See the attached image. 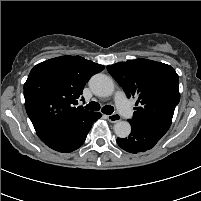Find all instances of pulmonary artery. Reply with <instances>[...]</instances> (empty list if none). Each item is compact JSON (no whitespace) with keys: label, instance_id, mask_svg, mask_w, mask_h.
I'll list each match as a JSON object with an SVG mask.
<instances>
[{"label":"pulmonary artery","instance_id":"obj_1","mask_svg":"<svg viewBox=\"0 0 201 201\" xmlns=\"http://www.w3.org/2000/svg\"><path fill=\"white\" fill-rule=\"evenodd\" d=\"M115 101H116V105L120 114L125 118H128V119L132 118L133 110L125 94L122 91H119L116 93Z\"/></svg>","mask_w":201,"mask_h":201}]
</instances>
